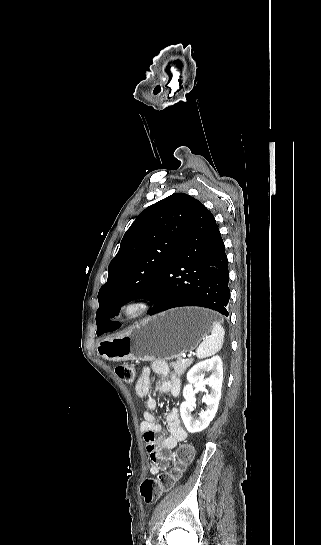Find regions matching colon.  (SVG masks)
Returning a JSON list of instances; mask_svg holds the SVG:
<instances>
[{
  "label": "colon",
  "instance_id": "obj_1",
  "mask_svg": "<svg viewBox=\"0 0 321 545\" xmlns=\"http://www.w3.org/2000/svg\"><path fill=\"white\" fill-rule=\"evenodd\" d=\"M116 375L126 383H131L135 377V368L131 364H122L115 367ZM176 462L170 471L146 478L140 486V493L147 504H154L159 498L171 489L174 482L180 477L186 464L193 457V449L189 445H180L175 452Z\"/></svg>",
  "mask_w": 321,
  "mask_h": 545
}]
</instances>
